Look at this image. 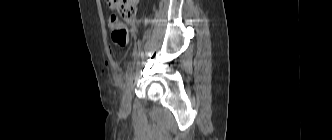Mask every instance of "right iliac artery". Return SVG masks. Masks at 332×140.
<instances>
[{
	"mask_svg": "<svg viewBox=\"0 0 332 140\" xmlns=\"http://www.w3.org/2000/svg\"><path fill=\"white\" fill-rule=\"evenodd\" d=\"M131 75H132V73H131V69L128 68V69H127V72H126V78H127L128 80H130V79H131Z\"/></svg>",
	"mask_w": 332,
	"mask_h": 140,
	"instance_id": "1",
	"label": "right iliac artery"
}]
</instances>
